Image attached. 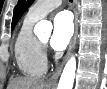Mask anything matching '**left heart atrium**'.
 <instances>
[{
	"label": "left heart atrium",
	"mask_w": 107,
	"mask_h": 89,
	"mask_svg": "<svg viewBox=\"0 0 107 89\" xmlns=\"http://www.w3.org/2000/svg\"><path fill=\"white\" fill-rule=\"evenodd\" d=\"M73 34V22L71 15L66 12L57 14L53 21V34L51 37V46L60 51L66 48Z\"/></svg>",
	"instance_id": "1"
}]
</instances>
